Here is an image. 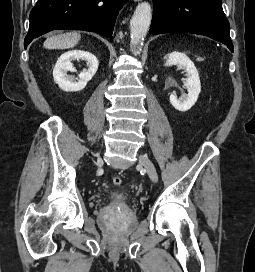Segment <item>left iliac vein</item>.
Returning a JSON list of instances; mask_svg holds the SVG:
<instances>
[{
  "instance_id": "1",
  "label": "left iliac vein",
  "mask_w": 255,
  "mask_h": 272,
  "mask_svg": "<svg viewBox=\"0 0 255 272\" xmlns=\"http://www.w3.org/2000/svg\"><path fill=\"white\" fill-rule=\"evenodd\" d=\"M139 163L144 167V169L147 172L150 179L153 182H157L158 181V175H157L155 166L153 165V163L149 159V157L147 155H145V154L140 155Z\"/></svg>"
}]
</instances>
